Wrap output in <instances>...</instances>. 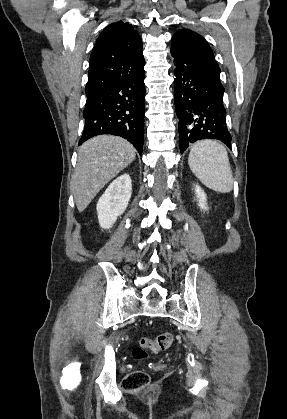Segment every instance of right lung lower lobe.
<instances>
[{
  "label": "right lung lower lobe",
  "mask_w": 287,
  "mask_h": 419,
  "mask_svg": "<svg viewBox=\"0 0 287 419\" xmlns=\"http://www.w3.org/2000/svg\"><path fill=\"white\" fill-rule=\"evenodd\" d=\"M145 72L87 98L85 125L79 144L96 135L111 134L127 139L142 155L144 139Z\"/></svg>",
  "instance_id": "obj_1"
}]
</instances>
